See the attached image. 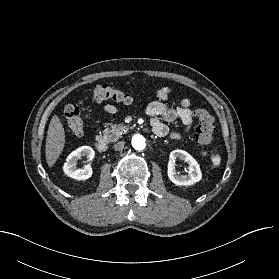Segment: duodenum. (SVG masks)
<instances>
[{"label":"duodenum","instance_id":"1","mask_svg":"<svg viewBox=\"0 0 279 279\" xmlns=\"http://www.w3.org/2000/svg\"><path fill=\"white\" fill-rule=\"evenodd\" d=\"M96 150L100 153H103L107 150V143L103 139H99L95 143Z\"/></svg>","mask_w":279,"mask_h":279}]
</instances>
